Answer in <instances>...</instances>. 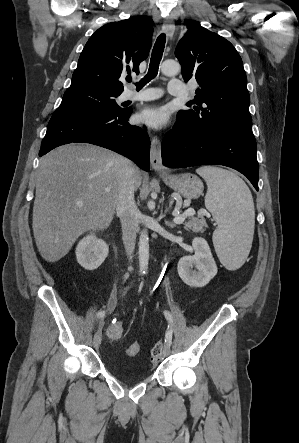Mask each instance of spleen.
<instances>
[{"label": "spleen", "mask_w": 299, "mask_h": 443, "mask_svg": "<svg viewBox=\"0 0 299 443\" xmlns=\"http://www.w3.org/2000/svg\"><path fill=\"white\" fill-rule=\"evenodd\" d=\"M196 172L207 183L205 206L217 223L213 244L221 263L228 270L240 268L251 249L255 210L251 192L231 171L203 166Z\"/></svg>", "instance_id": "1"}]
</instances>
